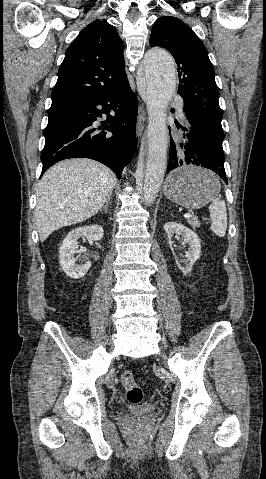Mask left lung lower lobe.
Masks as SVG:
<instances>
[{"instance_id": "obj_1", "label": "left lung lower lobe", "mask_w": 266, "mask_h": 479, "mask_svg": "<svg viewBox=\"0 0 266 479\" xmlns=\"http://www.w3.org/2000/svg\"><path fill=\"white\" fill-rule=\"evenodd\" d=\"M177 128H181L184 133L180 142L175 143L173 139L170 141L167 173L182 165L193 164L211 169L227 184L225 158L212 154L209 144L193 124L190 123L187 127L177 125Z\"/></svg>"}]
</instances>
